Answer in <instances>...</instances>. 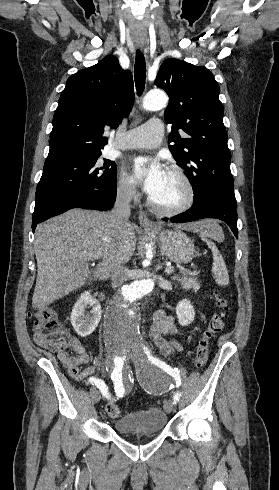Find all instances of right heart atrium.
Instances as JSON below:
<instances>
[{"label":"right heart atrium","instance_id":"obj_1","mask_svg":"<svg viewBox=\"0 0 279 490\" xmlns=\"http://www.w3.org/2000/svg\"><path fill=\"white\" fill-rule=\"evenodd\" d=\"M115 194L119 200L124 202L134 201L137 198L136 189L122 172H118L116 176Z\"/></svg>","mask_w":279,"mask_h":490}]
</instances>
